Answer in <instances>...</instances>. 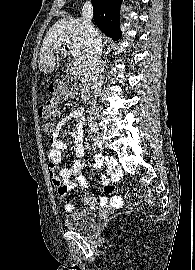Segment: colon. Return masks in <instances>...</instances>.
Returning <instances> with one entry per match:
<instances>
[{
    "label": "colon",
    "instance_id": "5ec220e1",
    "mask_svg": "<svg viewBox=\"0 0 195 270\" xmlns=\"http://www.w3.org/2000/svg\"><path fill=\"white\" fill-rule=\"evenodd\" d=\"M80 81L74 77H65L54 87L53 96L43 102L38 108V114L46 121L43 124L45 133L53 135L55 132V120L59 116L58 105L60 102L72 97L78 90ZM145 200L148 204H155L154 198L147 194L144 197L136 189H130L126 192V201L129 204L137 205L142 200Z\"/></svg>",
    "mask_w": 195,
    "mask_h": 270
}]
</instances>
